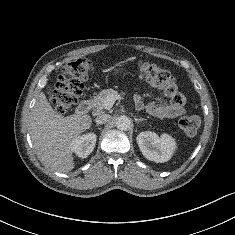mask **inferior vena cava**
<instances>
[{
	"mask_svg": "<svg viewBox=\"0 0 235 235\" xmlns=\"http://www.w3.org/2000/svg\"><path fill=\"white\" fill-rule=\"evenodd\" d=\"M109 119H110V115L101 114V115L97 116V118L95 119V122L97 124H104V123L108 122Z\"/></svg>",
	"mask_w": 235,
	"mask_h": 235,
	"instance_id": "obj_1",
	"label": "inferior vena cava"
}]
</instances>
